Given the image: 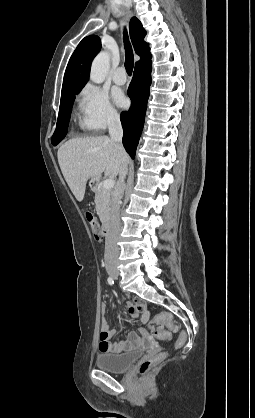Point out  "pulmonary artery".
<instances>
[{"label":"pulmonary artery","instance_id":"pulmonary-artery-1","mask_svg":"<svg viewBox=\"0 0 255 418\" xmlns=\"http://www.w3.org/2000/svg\"><path fill=\"white\" fill-rule=\"evenodd\" d=\"M113 81L118 85H123L127 81L125 68L118 67L113 74Z\"/></svg>","mask_w":255,"mask_h":418}]
</instances>
